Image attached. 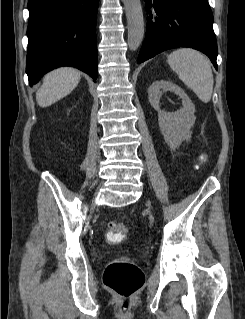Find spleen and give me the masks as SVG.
<instances>
[{
    "label": "spleen",
    "mask_w": 245,
    "mask_h": 319,
    "mask_svg": "<svg viewBox=\"0 0 245 319\" xmlns=\"http://www.w3.org/2000/svg\"><path fill=\"white\" fill-rule=\"evenodd\" d=\"M168 64L202 102L211 100L214 80L211 64L205 55L195 49L180 48L169 55Z\"/></svg>",
    "instance_id": "1"
}]
</instances>
